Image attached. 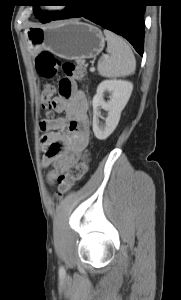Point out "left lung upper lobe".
<instances>
[{"label":"left lung upper lobe","instance_id":"obj_1","mask_svg":"<svg viewBox=\"0 0 181 300\" xmlns=\"http://www.w3.org/2000/svg\"><path fill=\"white\" fill-rule=\"evenodd\" d=\"M33 11L35 16L42 21L43 23H46L51 16H53L56 12H46V13H42L39 9V6H33Z\"/></svg>","mask_w":181,"mask_h":300}]
</instances>
